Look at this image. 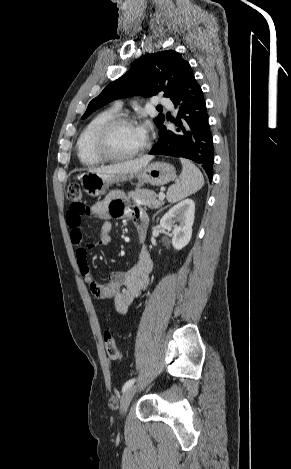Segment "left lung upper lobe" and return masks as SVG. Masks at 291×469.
I'll list each match as a JSON object with an SVG mask.
<instances>
[{
  "label": "left lung upper lobe",
  "mask_w": 291,
  "mask_h": 469,
  "mask_svg": "<svg viewBox=\"0 0 291 469\" xmlns=\"http://www.w3.org/2000/svg\"><path fill=\"white\" fill-rule=\"evenodd\" d=\"M190 68L188 61L174 50L146 54L133 63L130 70L110 83L88 105L83 119L107 103L132 95L153 96L159 92L171 97L180 86ZM164 115L155 118L158 127L164 122Z\"/></svg>",
  "instance_id": "1"
}]
</instances>
